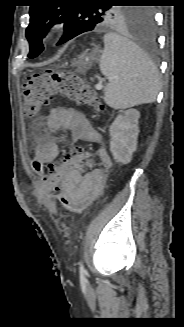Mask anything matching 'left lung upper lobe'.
<instances>
[{"label": "left lung upper lobe", "instance_id": "obj_1", "mask_svg": "<svg viewBox=\"0 0 184 327\" xmlns=\"http://www.w3.org/2000/svg\"><path fill=\"white\" fill-rule=\"evenodd\" d=\"M50 0H37L29 9L30 23L26 29L29 42V58L37 57L43 50L42 40L48 29L64 23V30L81 34L100 26L127 24L137 26L149 11L141 7L112 6L114 3H133L134 0H99L98 4H82L86 1L72 0L70 4L47 5Z\"/></svg>", "mask_w": 184, "mask_h": 327}]
</instances>
